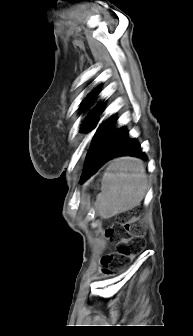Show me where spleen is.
Returning <instances> with one entry per match:
<instances>
[{
	"instance_id": "spleen-1",
	"label": "spleen",
	"mask_w": 193,
	"mask_h": 336,
	"mask_svg": "<svg viewBox=\"0 0 193 336\" xmlns=\"http://www.w3.org/2000/svg\"><path fill=\"white\" fill-rule=\"evenodd\" d=\"M101 193L95 209L108 219L138 206L147 190V177L141 160L133 157L117 158L108 166L102 178Z\"/></svg>"
}]
</instances>
